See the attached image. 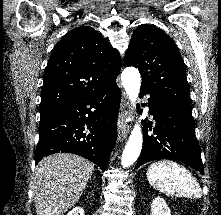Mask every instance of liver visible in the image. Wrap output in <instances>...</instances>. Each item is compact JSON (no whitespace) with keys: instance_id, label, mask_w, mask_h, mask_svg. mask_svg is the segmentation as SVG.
<instances>
[{"instance_id":"obj_1","label":"liver","mask_w":221,"mask_h":215,"mask_svg":"<svg viewBox=\"0 0 221 215\" xmlns=\"http://www.w3.org/2000/svg\"><path fill=\"white\" fill-rule=\"evenodd\" d=\"M93 172L92 162L74 154L45 157L33 176L36 214L62 215L80 199Z\"/></svg>"}]
</instances>
